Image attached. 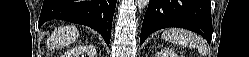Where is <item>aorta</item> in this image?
<instances>
[{
	"label": "aorta",
	"instance_id": "762f6f07",
	"mask_svg": "<svg viewBox=\"0 0 249 57\" xmlns=\"http://www.w3.org/2000/svg\"><path fill=\"white\" fill-rule=\"evenodd\" d=\"M149 4V0H136V6L138 7L139 11L145 9Z\"/></svg>",
	"mask_w": 249,
	"mask_h": 57
}]
</instances>
